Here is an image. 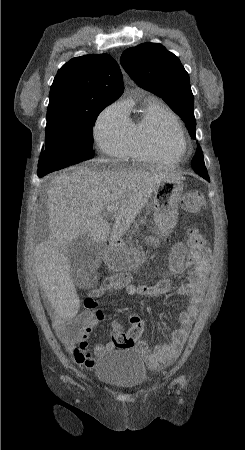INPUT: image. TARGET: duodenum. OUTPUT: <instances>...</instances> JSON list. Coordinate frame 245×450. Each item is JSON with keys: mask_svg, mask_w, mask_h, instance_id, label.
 <instances>
[{"mask_svg": "<svg viewBox=\"0 0 245 450\" xmlns=\"http://www.w3.org/2000/svg\"><path fill=\"white\" fill-rule=\"evenodd\" d=\"M109 245L112 249H116L118 247V242L116 239L114 240H109Z\"/></svg>", "mask_w": 245, "mask_h": 450, "instance_id": "410a0bca", "label": "duodenum"}]
</instances>
